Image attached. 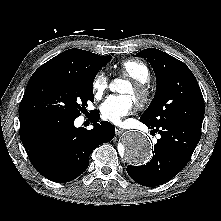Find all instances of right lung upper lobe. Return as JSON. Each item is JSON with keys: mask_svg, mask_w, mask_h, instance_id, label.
I'll return each mask as SVG.
<instances>
[{"mask_svg": "<svg viewBox=\"0 0 221 221\" xmlns=\"http://www.w3.org/2000/svg\"><path fill=\"white\" fill-rule=\"evenodd\" d=\"M102 57L90 51L69 49L41 65L32 77L46 72L85 74L90 72Z\"/></svg>", "mask_w": 221, "mask_h": 221, "instance_id": "right-lung-upper-lobe-1", "label": "right lung upper lobe"}]
</instances>
